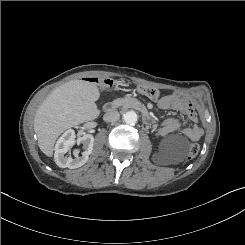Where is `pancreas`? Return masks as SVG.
Returning <instances> with one entry per match:
<instances>
[{"label":"pancreas","mask_w":245,"mask_h":245,"mask_svg":"<svg viewBox=\"0 0 245 245\" xmlns=\"http://www.w3.org/2000/svg\"><path fill=\"white\" fill-rule=\"evenodd\" d=\"M114 107H123V108H138L142 106L141 102L134 98H118L112 102Z\"/></svg>","instance_id":"1"}]
</instances>
